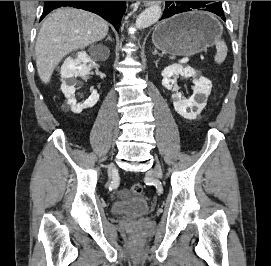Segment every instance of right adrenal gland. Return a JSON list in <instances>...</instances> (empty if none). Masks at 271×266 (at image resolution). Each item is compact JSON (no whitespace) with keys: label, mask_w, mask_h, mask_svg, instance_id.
<instances>
[{"label":"right adrenal gland","mask_w":271,"mask_h":266,"mask_svg":"<svg viewBox=\"0 0 271 266\" xmlns=\"http://www.w3.org/2000/svg\"><path fill=\"white\" fill-rule=\"evenodd\" d=\"M107 40L112 41V38L110 37V35L106 38V41H107Z\"/></svg>","instance_id":"2a0ac1e0"}]
</instances>
